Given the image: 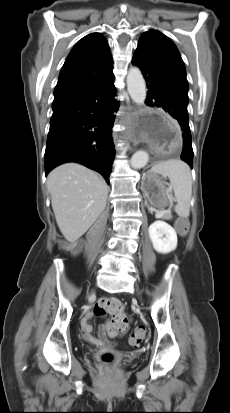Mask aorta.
<instances>
[{
	"instance_id": "762f6f07",
	"label": "aorta",
	"mask_w": 230,
	"mask_h": 413,
	"mask_svg": "<svg viewBox=\"0 0 230 413\" xmlns=\"http://www.w3.org/2000/svg\"><path fill=\"white\" fill-rule=\"evenodd\" d=\"M127 90L131 99L138 105H142L146 99V84L140 69L133 66L127 74ZM149 155L146 151H137L130 160L132 168L141 169L148 163Z\"/></svg>"
}]
</instances>
